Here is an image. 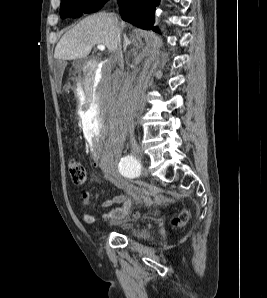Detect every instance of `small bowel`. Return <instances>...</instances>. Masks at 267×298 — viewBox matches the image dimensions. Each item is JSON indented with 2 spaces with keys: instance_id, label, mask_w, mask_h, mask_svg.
I'll return each mask as SVG.
<instances>
[{
  "instance_id": "small-bowel-1",
  "label": "small bowel",
  "mask_w": 267,
  "mask_h": 298,
  "mask_svg": "<svg viewBox=\"0 0 267 298\" xmlns=\"http://www.w3.org/2000/svg\"><path fill=\"white\" fill-rule=\"evenodd\" d=\"M110 180L117 187L125 190L126 194H119L105 200L103 202V207L105 208H110L115 204H119V206L112 208L111 210L103 214L102 218L115 223H123L134 203V197L137 191L135 188L131 187L126 181L117 176H110ZM82 199L85 205H91V199L88 193H83ZM83 221L87 224H93L96 221V218L90 214H84Z\"/></svg>"
}]
</instances>
